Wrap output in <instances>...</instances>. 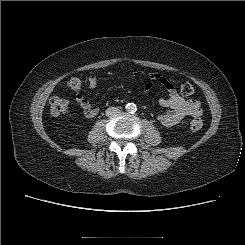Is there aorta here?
<instances>
[{"instance_id": "obj_1", "label": "aorta", "mask_w": 245, "mask_h": 245, "mask_svg": "<svg viewBox=\"0 0 245 245\" xmlns=\"http://www.w3.org/2000/svg\"><path fill=\"white\" fill-rule=\"evenodd\" d=\"M125 108H126V111L129 113H134L137 110L136 104L134 103H128Z\"/></svg>"}]
</instances>
